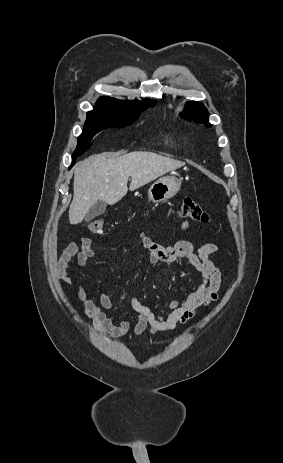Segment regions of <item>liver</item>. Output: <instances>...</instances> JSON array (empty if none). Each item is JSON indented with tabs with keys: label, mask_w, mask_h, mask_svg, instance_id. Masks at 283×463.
I'll return each mask as SVG.
<instances>
[{
	"label": "liver",
	"mask_w": 283,
	"mask_h": 463,
	"mask_svg": "<svg viewBox=\"0 0 283 463\" xmlns=\"http://www.w3.org/2000/svg\"><path fill=\"white\" fill-rule=\"evenodd\" d=\"M184 162L153 152L137 151L117 156L112 153L92 155L74 168V196L69 208V222L81 223L89 209L99 200L113 205L129 190L179 169Z\"/></svg>",
	"instance_id": "6515ba94"
}]
</instances>
